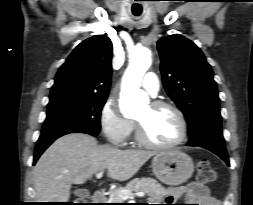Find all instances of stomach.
<instances>
[{"instance_id":"1","label":"stomach","mask_w":253,"mask_h":205,"mask_svg":"<svg viewBox=\"0 0 253 205\" xmlns=\"http://www.w3.org/2000/svg\"><path fill=\"white\" fill-rule=\"evenodd\" d=\"M155 176L171 186L180 185L188 180L194 171L190 156L180 150H169L157 153L152 160Z\"/></svg>"}]
</instances>
